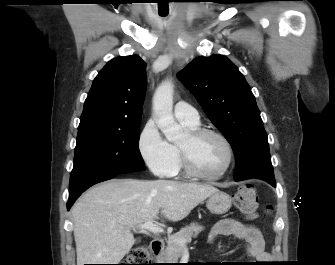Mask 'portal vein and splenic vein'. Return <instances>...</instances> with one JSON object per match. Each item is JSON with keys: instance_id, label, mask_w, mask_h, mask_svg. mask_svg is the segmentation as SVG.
<instances>
[{"instance_id": "18ae733b", "label": "portal vein and splenic vein", "mask_w": 335, "mask_h": 265, "mask_svg": "<svg viewBox=\"0 0 335 265\" xmlns=\"http://www.w3.org/2000/svg\"><path fill=\"white\" fill-rule=\"evenodd\" d=\"M139 229L141 231H148V232H152V233H161L163 232V229L157 224L154 223L152 220H148L147 222L137 225L136 227H133V229ZM180 243H183L182 240L178 241ZM183 246H185V244H183Z\"/></svg>"}]
</instances>
